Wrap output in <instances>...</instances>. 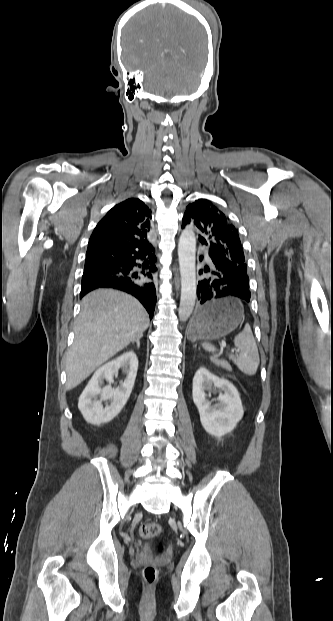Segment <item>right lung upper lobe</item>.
Wrapping results in <instances>:
<instances>
[{"label": "right lung upper lobe", "mask_w": 333, "mask_h": 621, "mask_svg": "<svg viewBox=\"0 0 333 621\" xmlns=\"http://www.w3.org/2000/svg\"><path fill=\"white\" fill-rule=\"evenodd\" d=\"M150 219L151 210L140 199L115 205L95 227L86 256L145 251L152 246L147 240Z\"/></svg>", "instance_id": "cb5924a9"}]
</instances>
